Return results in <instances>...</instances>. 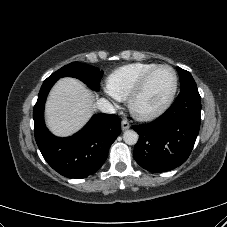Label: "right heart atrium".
I'll use <instances>...</instances> for the list:
<instances>
[{"label": "right heart atrium", "mask_w": 227, "mask_h": 227, "mask_svg": "<svg viewBox=\"0 0 227 227\" xmlns=\"http://www.w3.org/2000/svg\"><path fill=\"white\" fill-rule=\"evenodd\" d=\"M105 92H106V94H107L110 98H112L113 100H118L116 97H114V96L109 92L108 89H106Z\"/></svg>", "instance_id": "right-heart-atrium-1"}]
</instances>
